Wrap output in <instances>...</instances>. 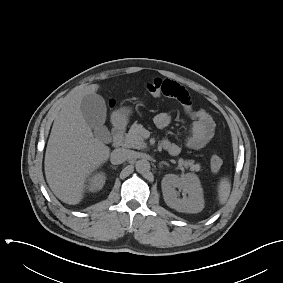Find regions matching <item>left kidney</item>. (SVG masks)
<instances>
[{
    "label": "left kidney",
    "instance_id": "left-kidney-1",
    "mask_svg": "<svg viewBox=\"0 0 283 283\" xmlns=\"http://www.w3.org/2000/svg\"><path fill=\"white\" fill-rule=\"evenodd\" d=\"M162 192L166 204L179 212L198 213L204 208L203 191L197 175L187 173L181 177L167 174L162 180ZM176 188L182 191L178 197Z\"/></svg>",
    "mask_w": 283,
    "mask_h": 283
}]
</instances>
